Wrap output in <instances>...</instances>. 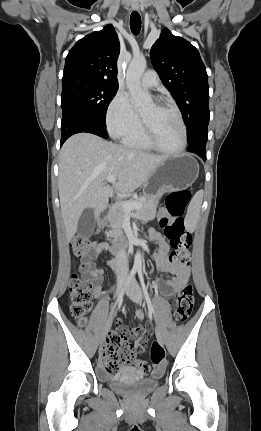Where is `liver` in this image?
I'll return each instance as SVG.
<instances>
[{
  "instance_id": "liver-1",
  "label": "liver",
  "mask_w": 261,
  "mask_h": 431,
  "mask_svg": "<svg viewBox=\"0 0 261 431\" xmlns=\"http://www.w3.org/2000/svg\"><path fill=\"white\" fill-rule=\"evenodd\" d=\"M108 142L96 135L79 133L70 137L60 151L59 198L67 241L77 232L83 211L103 212L114 190L127 194L140 187L151 172L165 160ZM117 177L113 187L104 181Z\"/></svg>"
}]
</instances>
